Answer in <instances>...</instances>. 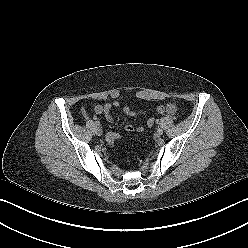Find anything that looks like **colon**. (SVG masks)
Here are the masks:
<instances>
[{
	"instance_id": "obj_1",
	"label": "colon",
	"mask_w": 248,
	"mask_h": 248,
	"mask_svg": "<svg viewBox=\"0 0 248 248\" xmlns=\"http://www.w3.org/2000/svg\"><path fill=\"white\" fill-rule=\"evenodd\" d=\"M154 118H152V117H150V118H148L147 119V126L148 127H153V125H154ZM120 138V135L118 134V133H115V132H113V133H110L108 136H107V142L109 143V144H113L114 143V141H116V140H118Z\"/></svg>"
}]
</instances>
